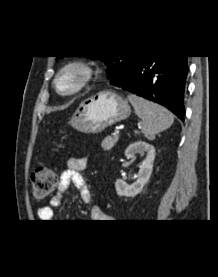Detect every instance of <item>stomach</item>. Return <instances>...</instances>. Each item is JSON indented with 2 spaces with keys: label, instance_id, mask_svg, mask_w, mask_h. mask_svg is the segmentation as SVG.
<instances>
[{
  "label": "stomach",
  "instance_id": "obj_1",
  "mask_svg": "<svg viewBox=\"0 0 218 277\" xmlns=\"http://www.w3.org/2000/svg\"><path fill=\"white\" fill-rule=\"evenodd\" d=\"M131 108L127 100L111 91H102L84 100L69 124L79 132L97 134L128 118Z\"/></svg>",
  "mask_w": 218,
  "mask_h": 277
}]
</instances>
